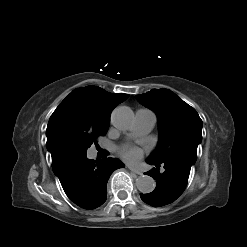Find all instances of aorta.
<instances>
[{
    "label": "aorta",
    "instance_id": "762f6f07",
    "mask_svg": "<svg viewBox=\"0 0 247 247\" xmlns=\"http://www.w3.org/2000/svg\"><path fill=\"white\" fill-rule=\"evenodd\" d=\"M111 120L116 128L127 130L133 124L134 114L129 107L120 106L112 112ZM136 186L141 193H151L155 189V181L148 175H142L136 179Z\"/></svg>",
    "mask_w": 247,
    "mask_h": 247
}]
</instances>
